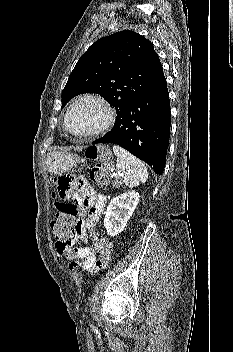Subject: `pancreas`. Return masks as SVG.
<instances>
[{
	"mask_svg": "<svg viewBox=\"0 0 233 352\" xmlns=\"http://www.w3.org/2000/svg\"><path fill=\"white\" fill-rule=\"evenodd\" d=\"M122 184L121 179L117 178L115 181H113L112 186L115 188H119Z\"/></svg>",
	"mask_w": 233,
	"mask_h": 352,
	"instance_id": "obj_1",
	"label": "pancreas"
}]
</instances>
